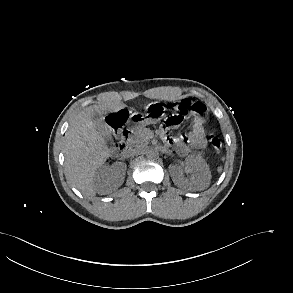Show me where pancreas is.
Wrapping results in <instances>:
<instances>
[{"mask_svg": "<svg viewBox=\"0 0 293 293\" xmlns=\"http://www.w3.org/2000/svg\"><path fill=\"white\" fill-rule=\"evenodd\" d=\"M153 136V131L148 128H138L129 137L128 143L130 146L143 147L148 144L150 138ZM201 156V154H198Z\"/></svg>", "mask_w": 293, "mask_h": 293, "instance_id": "cf45deb5", "label": "pancreas"}]
</instances>
